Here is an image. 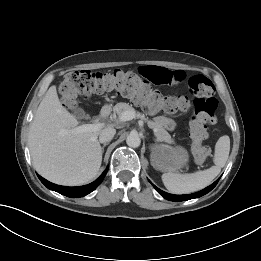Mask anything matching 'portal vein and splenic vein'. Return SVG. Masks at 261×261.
<instances>
[{
  "label": "portal vein and splenic vein",
  "mask_w": 261,
  "mask_h": 261,
  "mask_svg": "<svg viewBox=\"0 0 261 261\" xmlns=\"http://www.w3.org/2000/svg\"><path fill=\"white\" fill-rule=\"evenodd\" d=\"M135 117L136 116H135L134 111H125L119 117V121L125 122V121L132 120ZM142 118H144V116H142ZM103 126H104V123L84 124V125L74 128L72 131L78 132V133L87 132V131H95V130L101 129Z\"/></svg>",
  "instance_id": "obj_1"
}]
</instances>
